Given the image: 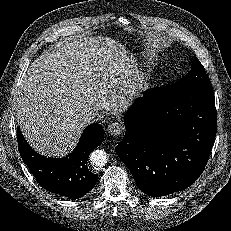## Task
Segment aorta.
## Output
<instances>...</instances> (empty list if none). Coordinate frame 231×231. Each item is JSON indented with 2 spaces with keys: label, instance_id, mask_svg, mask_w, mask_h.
<instances>
[{
  "label": "aorta",
  "instance_id": "obj_1",
  "mask_svg": "<svg viewBox=\"0 0 231 231\" xmlns=\"http://www.w3.org/2000/svg\"><path fill=\"white\" fill-rule=\"evenodd\" d=\"M90 161L97 167H102L107 163V154L103 150H95L90 154Z\"/></svg>",
  "mask_w": 231,
  "mask_h": 231
}]
</instances>
